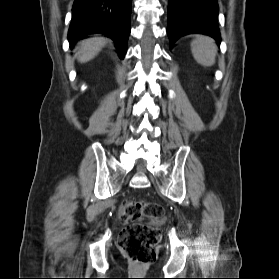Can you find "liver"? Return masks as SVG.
Returning a JSON list of instances; mask_svg holds the SVG:
<instances>
[{"label":"liver","instance_id":"liver-1","mask_svg":"<svg viewBox=\"0 0 279 279\" xmlns=\"http://www.w3.org/2000/svg\"><path fill=\"white\" fill-rule=\"evenodd\" d=\"M106 44V40L102 37H93L83 40L80 43V48L76 53L78 61L86 63L92 60Z\"/></svg>","mask_w":279,"mask_h":279}]
</instances>
